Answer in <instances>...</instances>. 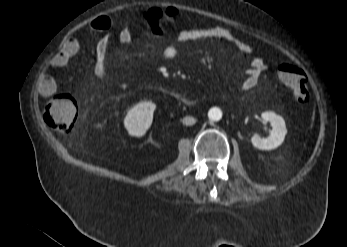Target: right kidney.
<instances>
[{
    "label": "right kidney",
    "instance_id": "ca27d5eb",
    "mask_svg": "<svg viewBox=\"0 0 347 247\" xmlns=\"http://www.w3.org/2000/svg\"><path fill=\"white\" fill-rule=\"evenodd\" d=\"M156 105L152 102H141L130 109L124 119V126L132 136L141 137L151 126Z\"/></svg>",
    "mask_w": 347,
    "mask_h": 247
}]
</instances>
